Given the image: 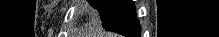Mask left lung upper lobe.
Returning <instances> with one entry per match:
<instances>
[{
  "mask_svg": "<svg viewBox=\"0 0 219 37\" xmlns=\"http://www.w3.org/2000/svg\"><path fill=\"white\" fill-rule=\"evenodd\" d=\"M89 2L98 10L103 28L106 29L124 0H89Z\"/></svg>",
  "mask_w": 219,
  "mask_h": 37,
  "instance_id": "5c2ea615",
  "label": "left lung upper lobe"
}]
</instances>
